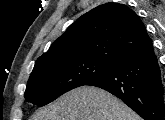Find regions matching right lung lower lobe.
Instances as JSON below:
<instances>
[{
  "instance_id": "98d812e1",
  "label": "right lung lower lobe",
  "mask_w": 165,
  "mask_h": 120,
  "mask_svg": "<svg viewBox=\"0 0 165 120\" xmlns=\"http://www.w3.org/2000/svg\"><path fill=\"white\" fill-rule=\"evenodd\" d=\"M86 85L117 96L144 120H164V88L152 42L130 53L109 73Z\"/></svg>"
}]
</instances>
